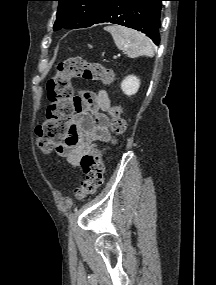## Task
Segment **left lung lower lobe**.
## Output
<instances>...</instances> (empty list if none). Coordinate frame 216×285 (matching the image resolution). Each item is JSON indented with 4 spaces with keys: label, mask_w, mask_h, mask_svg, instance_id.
Returning a JSON list of instances; mask_svg holds the SVG:
<instances>
[{
    "label": "left lung lower lobe",
    "mask_w": 216,
    "mask_h": 285,
    "mask_svg": "<svg viewBox=\"0 0 216 285\" xmlns=\"http://www.w3.org/2000/svg\"><path fill=\"white\" fill-rule=\"evenodd\" d=\"M162 1L165 0H112L92 25L109 22L133 28L158 45Z\"/></svg>",
    "instance_id": "1"
}]
</instances>
